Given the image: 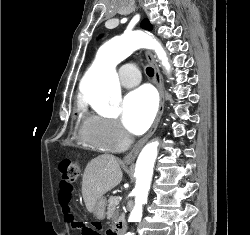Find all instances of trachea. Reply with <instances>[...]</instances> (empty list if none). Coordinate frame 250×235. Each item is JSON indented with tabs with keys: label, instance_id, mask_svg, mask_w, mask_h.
Here are the masks:
<instances>
[{
	"label": "trachea",
	"instance_id": "trachea-1",
	"mask_svg": "<svg viewBox=\"0 0 250 235\" xmlns=\"http://www.w3.org/2000/svg\"><path fill=\"white\" fill-rule=\"evenodd\" d=\"M146 73L148 76H153L154 75V69L152 67H147L146 68Z\"/></svg>",
	"mask_w": 250,
	"mask_h": 235
}]
</instances>
